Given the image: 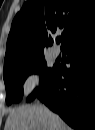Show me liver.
Here are the masks:
<instances>
[{
  "label": "liver",
  "instance_id": "6515ba94",
  "mask_svg": "<svg viewBox=\"0 0 95 130\" xmlns=\"http://www.w3.org/2000/svg\"><path fill=\"white\" fill-rule=\"evenodd\" d=\"M4 130H71L42 104L23 105L10 110Z\"/></svg>",
  "mask_w": 95,
  "mask_h": 130
}]
</instances>
